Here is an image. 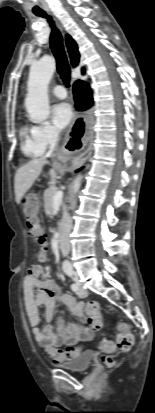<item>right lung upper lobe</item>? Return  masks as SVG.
Returning <instances> with one entry per match:
<instances>
[{
	"instance_id": "obj_1",
	"label": "right lung upper lobe",
	"mask_w": 155,
	"mask_h": 413,
	"mask_svg": "<svg viewBox=\"0 0 155 413\" xmlns=\"http://www.w3.org/2000/svg\"><path fill=\"white\" fill-rule=\"evenodd\" d=\"M66 44L71 58V64L75 67L78 65L80 58L77 44L69 35H66Z\"/></svg>"
}]
</instances>
